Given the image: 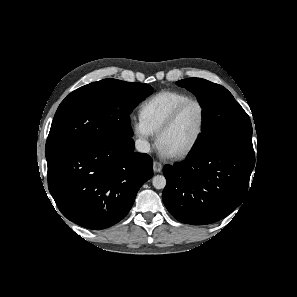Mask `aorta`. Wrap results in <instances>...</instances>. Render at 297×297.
Instances as JSON below:
<instances>
[{"label": "aorta", "mask_w": 297, "mask_h": 297, "mask_svg": "<svg viewBox=\"0 0 297 297\" xmlns=\"http://www.w3.org/2000/svg\"><path fill=\"white\" fill-rule=\"evenodd\" d=\"M152 184L156 189H164L166 186V179L163 175H156L152 179Z\"/></svg>", "instance_id": "aorta-1"}]
</instances>
